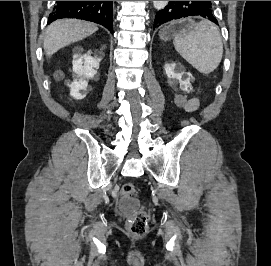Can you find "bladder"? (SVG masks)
<instances>
[{
    "instance_id": "31cf9c89",
    "label": "bladder",
    "mask_w": 271,
    "mask_h": 266,
    "mask_svg": "<svg viewBox=\"0 0 271 266\" xmlns=\"http://www.w3.org/2000/svg\"><path fill=\"white\" fill-rule=\"evenodd\" d=\"M139 206V201L136 198H124L120 202V210L124 213H130Z\"/></svg>"
}]
</instances>
